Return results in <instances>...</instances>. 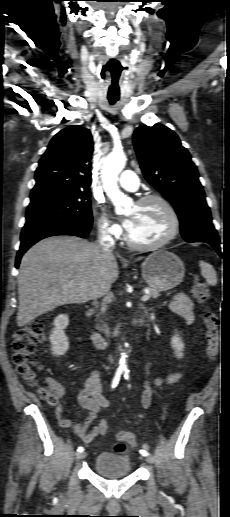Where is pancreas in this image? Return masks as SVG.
Instances as JSON below:
<instances>
[{"label": "pancreas", "instance_id": "cf45deb5", "mask_svg": "<svg viewBox=\"0 0 230 517\" xmlns=\"http://www.w3.org/2000/svg\"><path fill=\"white\" fill-rule=\"evenodd\" d=\"M145 289H147L149 291V295L152 298H157V297L160 296V291L157 290V289H154V288H151V287H147Z\"/></svg>", "mask_w": 230, "mask_h": 517}]
</instances>
